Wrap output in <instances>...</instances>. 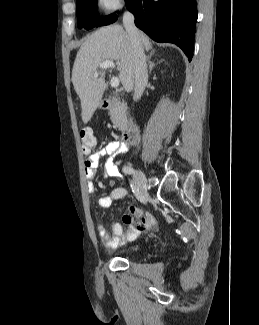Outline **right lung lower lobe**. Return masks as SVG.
I'll return each mask as SVG.
<instances>
[{
	"label": "right lung lower lobe",
	"instance_id": "obj_1",
	"mask_svg": "<svg viewBox=\"0 0 259 325\" xmlns=\"http://www.w3.org/2000/svg\"><path fill=\"white\" fill-rule=\"evenodd\" d=\"M135 24L153 40L178 45L191 61L197 21L196 0H126Z\"/></svg>",
	"mask_w": 259,
	"mask_h": 325
}]
</instances>
